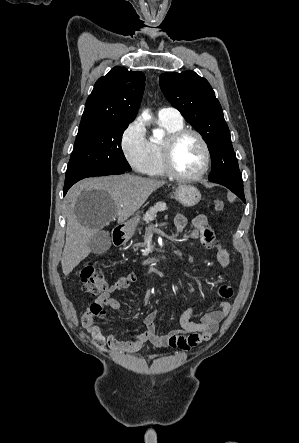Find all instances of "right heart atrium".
<instances>
[{"label":"right heart atrium","mask_w":299,"mask_h":443,"mask_svg":"<svg viewBox=\"0 0 299 443\" xmlns=\"http://www.w3.org/2000/svg\"><path fill=\"white\" fill-rule=\"evenodd\" d=\"M122 153L130 166L144 172L148 164V140L146 130L139 120H134L123 130L120 137Z\"/></svg>","instance_id":"obj_1"}]
</instances>
